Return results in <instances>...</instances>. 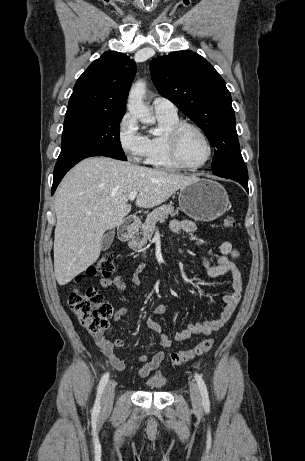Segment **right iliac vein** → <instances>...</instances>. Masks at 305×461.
<instances>
[{"label": "right iliac vein", "mask_w": 305, "mask_h": 461, "mask_svg": "<svg viewBox=\"0 0 305 461\" xmlns=\"http://www.w3.org/2000/svg\"><path fill=\"white\" fill-rule=\"evenodd\" d=\"M115 385L116 384L114 381H109L105 387V390L103 393V400H102L103 411L109 410L112 406L114 394H115Z\"/></svg>", "instance_id": "right-iliac-vein-1"}]
</instances>
